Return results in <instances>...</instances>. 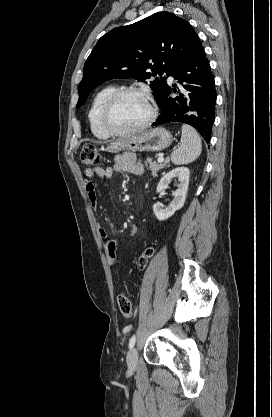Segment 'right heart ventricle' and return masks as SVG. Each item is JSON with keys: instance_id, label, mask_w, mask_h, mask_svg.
<instances>
[{"instance_id": "right-heart-ventricle-1", "label": "right heart ventricle", "mask_w": 272, "mask_h": 417, "mask_svg": "<svg viewBox=\"0 0 272 417\" xmlns=\"http://www.w3.org/2000/svg\"><path fill=\"white\" fill-rule=\"evenodd\" d=\"M116 89L115 85H107L103 87L95 94L91 102L88 112V120L92 133L99 139H107L110 137V135L107 134L101 126L100 115L105 101Z\"/></svg>"}]
</instances>
